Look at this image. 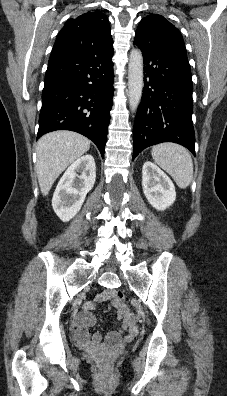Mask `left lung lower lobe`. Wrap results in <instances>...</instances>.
<instances>
[{
    "label": "left lung lower lobe",
    "instance_id": "1",
    "mask_svg": "<svg viewBox=\"0 0 227 396\" xmlns=\"http://www.w3.org/2000/svg\"><path fill=\"white\" fill-rule=\"evenodd\" d=\"M144 59V92L134 123L133 160L145 148L174 142L195 155L192 76L187 57L134 41Z\"/></svg>",
    "mask_w": 227,
    "mask_h": 396
}]
</instances>
